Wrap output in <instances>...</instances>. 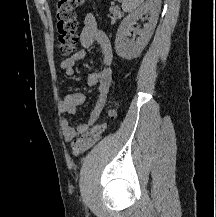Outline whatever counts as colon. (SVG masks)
I'll list each match as a JSON object with an SVG mask.
<instances>
[{"label":"colon","mask_w":216,"mask_h":217,"mask_svg":"<svg viewBox=\"0 0 216 217\" xmlns=\"http://www.w3.org/2000/svg\"><path fill=\"white\" fill-rule=\"evenodd\" d=\"M84 0H56L55 19L57 28V49L64 60L70 58L76 48L77 19L75 9ZM105 125L100 123L89 128L78 140L72 144V155L78 157L94 146L101 138Z\"/></svg>","instance_id":"1"}]
</instances>
